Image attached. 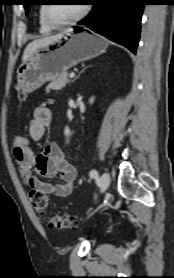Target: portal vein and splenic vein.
I'll list each match as a JSON object with an SVG mask.
<instances>
[{
	"instance_id": "1",
	"label": "portal vein and splenic vein",
	"mask_w": 174,
	"mask_h": 278,
	"mask_svg": "<svg viewBox=\"0 0 174 278\" xmlns=\"http://www.w3.org/2000/svg\"><path fill=\"white\" fill-rule=\"evenodd\" d=\"M69 77L70 78H74L75 77V73H70Z\"/></svg>"
}]
</instances>
